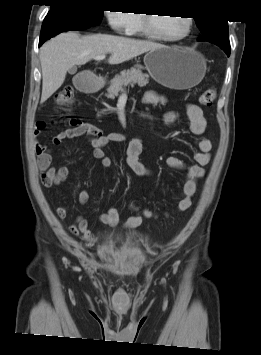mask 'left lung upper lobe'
<instances>
[{"label":"left lung upper lobe","instance_id":"1","mask_svg":"<svg viewBox=\"0 0 261 355\" xmlns=\"http://www.w3.org/2000/svg\"><path fill=\"white\" fill-rule=\"evenodd\" d=\"M196 24L203 34L200 41H209L221 47L225 53L230 55V42L228 38V22L205 18H194Z\"/></svg>","mask_w":261,"mask_h":355}]
</instances>
